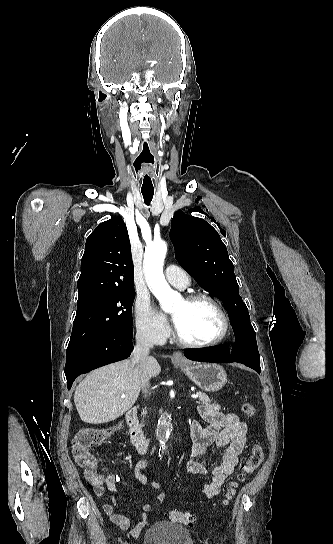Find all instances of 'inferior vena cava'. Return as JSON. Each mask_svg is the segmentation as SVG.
I'll list each match as a JSON object with an SVG mask.
<instances>
[{"label":"inferior vena cava","mask_w":333,"mask_h":544,"mask_svg":"<svg viewBox=\"0 0 333 544\" xmlns=\"http://www.w3.org/2000/svg\"><path fill=\"white\" fill-rule=\"evenodd\" d=\"M158 342L157 333L152 328H139L136 332V344L133 351V362L140 378L141 388L144 394L149 390V374L147 364L149 351Z\"/></svg>","instance_id":"1"}]
</instances>
